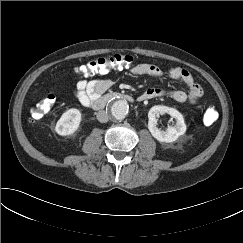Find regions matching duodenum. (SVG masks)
<instances>
[{"mask_svg": "<svg viewBox=\"0 0 243 243\" xmlns=\"http://www.w3.org/2000/svg\"><path fill=\"white\" fill-rule=\"evenodd\" d=\"M118 99H124V100H127L129 102L134 101V98L132 96L128 95V94L121 93V92H110V93L94 100L91 104V107L95 110H101L110 102H112L114 100H118ZM137 100L141 101L142 98L139 96L137 98Z\"/></svg>", "mask_w": 243, "mask_h": 243, "instance_id": "1", "label": "duodenum"}]
</instances>
